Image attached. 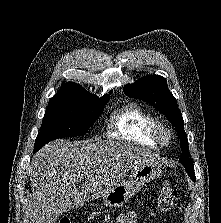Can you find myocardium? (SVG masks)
<instances>
[{
    "label": "myocardium",
    "mask_w": 221,
    "mask_h": 223,
    "mask_svg": "<svg viewBox=\"0 0 221 223\" xmlns=\"http://www.w3.org/2000/svg\"><path fill=\"white\" fill-rule=\"evenodd\" d=\"M149 135L158 145L167 146L170 144L173 133L169 126L159 120L149 130Z\"/></svg>",
    "instance_id": "myocardium-1"
}]
</instances>
